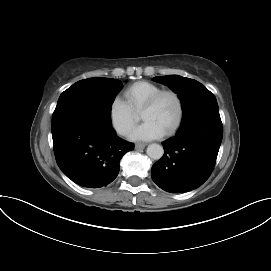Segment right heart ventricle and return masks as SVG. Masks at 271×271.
Here are the masks:
<instances>
[{"label": "right heart ventricle", "mask_w": 271, "mask_h": 271, "mask_svg": "<svg viewBox=\"0 0 271 271\" xmlns=\"http://www.w3.org/2000/svg\"><path fill=\"white\" fill-rule=\"evenodd\" d=\"M162 88L149 81H138L127 87L123 93L125 102L134 112H139L144 103Z\"/></svg>", "instance_id": "1"}]
</instances>
